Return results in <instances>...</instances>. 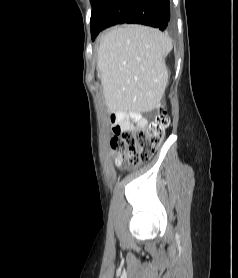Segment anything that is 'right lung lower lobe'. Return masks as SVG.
I'll return each instance as SVG.
<instances>
[{"mask_svg":"<svg viewBox=\"0 0 238 278\" xmlns=\"http://www.w3.org/2000/svg\"><path fill=\"white\" fill-rule=\"evenodd\" d=\"M170 20L169 0H97L92 6V40L106 27L138 23L165 30Z\"/></svg>","mask_w":238,"mask_h":278,"instance_id":"98d812e1","label":"right lung lower lobe"}]
</instances>
